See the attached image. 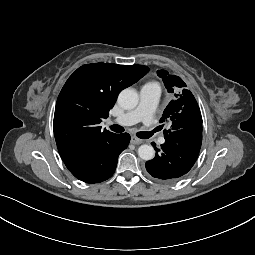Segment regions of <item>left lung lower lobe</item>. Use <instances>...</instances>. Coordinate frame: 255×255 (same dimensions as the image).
Here are the masks:
<instances>
[{"label": "left lung lower lobe", "mask_w": 255, "mask_h": 255, "mask_svg": "<svg viewBox=\"0 0 255 255\" xmlns=\"http://www.w3.org/2000/svg\"><path fill=\"white\" fill-rule=\"evenodd\" d=\"M154 159L146 162L147 172L156 180L175 182L193 167L202 144V124L185 127L168 134Z\"/></svg>", "instance_id": "obj_1"}]
</instances>
